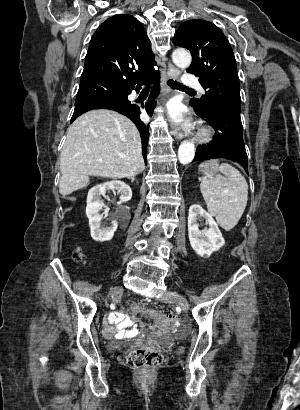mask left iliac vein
<instances>
[{
    "mask_svg": "<svg viewBox=\"0 0 300 410\" xmlns=\"http://www.w3.org/2000/svg\"><path fill=\"white\" fill-rule=\"evenodd\" d=\"M160 300L165 301V302L175 303L176 305L181 307L183 310L189 309V303L187 299L175 291L168 290L164 292L163 295L160 297Z\"/></svg>",
    "mask_w": 300,
    "mask_h": 410,
    "instance_id": "1",
    "label": "left iliac vein"
}]
</instances>
